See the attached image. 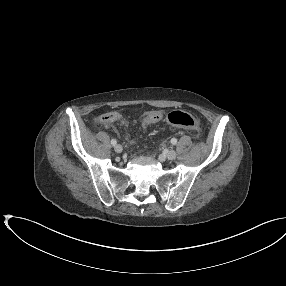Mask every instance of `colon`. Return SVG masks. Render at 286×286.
<instances>
[{
    "label": "colon",
    "mask_w": 286,
    "mask_h": 286,
    "mask_svg": "<svg viewBox=\"0 0 286 286\" xmlns=\"http://www.w3.org/2000/svg\"><path fill=\"white\" fill-rule=\"evenodd\" d=\"M167 122L171 126L185 128L189 130H198L199 128L198 120L192 115L182 111L170 112L167 115Z\"/></svg>",
    "instance_id": "5ec220e1"
}]
</instances>
